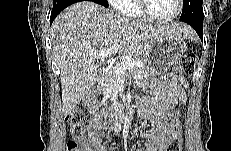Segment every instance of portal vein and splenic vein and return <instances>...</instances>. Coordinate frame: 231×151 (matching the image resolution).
Masks as SVG:
<instances>
[{
	"label": "portal vein and splenic vein",
	"instance_id": "18ae733b",
	"mask_svg": "<svg viewBox=\"0 0 231 151\" xmlns=\"http://www.w3.org/2000/svg\"><path fill=\"white\" fill-rule=\"evenodd\" d=\"M118 49H119V45H113L110 49H108L106 51H99V52L94 51L91 53V55H93L97 59L104 60V58L109 56L111 53H114ZM135 64H136V62L134 60H130L128 62L121 64V65L112 66V70L116 74L120 75V74H123L126 70L133 68L135 66Z\"/></svg>",
	"mask_w": 231,
	"mask_h": 151
}]
</instances>
